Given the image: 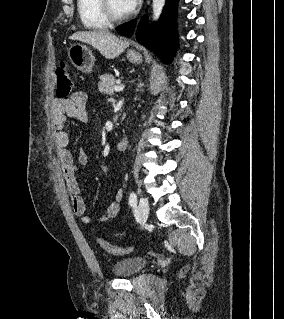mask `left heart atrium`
I'll return each instance as SVG.
<instances>
[{
  "mask_svg": "<svg viewBox=\"0 0 284 319\" xmlns=\"http://www.w3.org/2000/svg\"><path fill=\"white\" fill-rule=\"evenodd\" d=\"M141 0H123V3L128 12L133 11L140 3Z\"/></svg>",
  "mask_w": 284,
  "mask_h": 319,
  "instance_id": "1",
  "label": "left heart atrium"
}]
</instances>
